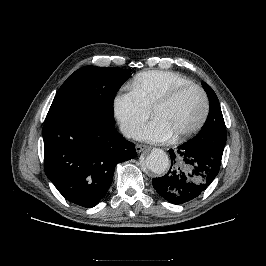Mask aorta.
I'll use <instances>...</instances> for the list:
<instances>
[{"label":"aorta","mask_w":266,"mask_h":266,"mask_svg":"<svg viewBox=\"0 0 266 266\" xmlns=\"http://www.w3.org/2000/svg\"><path fill=\"white\" fill-rule=\"evenodd\" d=\"M145 164L155 174H162L169 166V158L162 149L154 148L146 157Z\"/></svg>","instance_id":"762f6f07"}]
</instances>
